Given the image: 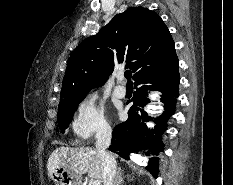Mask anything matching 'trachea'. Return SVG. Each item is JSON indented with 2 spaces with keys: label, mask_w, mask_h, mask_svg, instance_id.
I'll use <instances>...</instances> for the list:
<instances>
[{
  "label": "trachea",
  "mask_w": 233,
  "mask_h": 185,
  "mask_svg": "<svg viewBox=\"0 0 233 185\" xmlns=\"http://www.w3.org/2000/svg\"><path fill=\"white\" fill-rule=\"evenodd\" d=\"M131 76L132 72L130 70L125 71V78L127 79V84H132Z\"/></svg>",
  "instance_id": "1"
}]
</instances>
